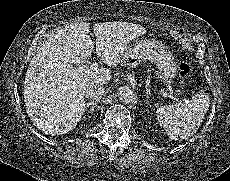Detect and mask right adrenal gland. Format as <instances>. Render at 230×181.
<instances>
[{
	"label": "right adrenal gland",
	"instance_id": "2a0ac1e0",
	"mask_svg": "<svg viewBox=\"0 0 230 181\" xmlns=\"http://www.w3.org/2000/svg\"><path fill=\"white\" fill-rule=\"evenodd\" d=\"M98 101L95 100V101H90L89 103H87L85 106V111H88V109L90 108V112L93 113L94 108L96 107V104L98 103Z\"/></svg>",
	"mask_w": 230,
	"mask_h": 181
}]
</instances>
